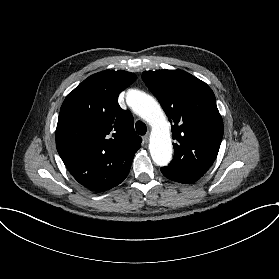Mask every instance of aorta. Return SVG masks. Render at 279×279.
<instances>
[{
  "mask_svg": "<svg viewBox=\"0 0 279 279\" xmlns=\"http://www.w3.org/2000/svg\"><path fill=\"white\" fill-rule=\"evenodd\" d=\"M128 105L134 112L152 127L149 151L153 161L159 166H166L172 158L170 123L158 104L150 95L133 90L127 98Z\"/></svg>",
  "mask_w": 279,
  "mask_h": 279,
  "instance_id": "1",
  "label": "aorta"
}]
</instances>
